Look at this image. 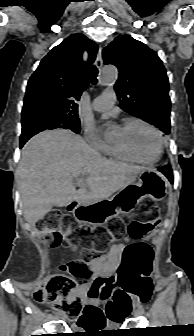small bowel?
Instances as JSON below:
<instances>
[{
  "label": "small bowel",
  "instance_id": "c3829d8e",
  "mask_svg": "<svg viewBox=\"0 0 194 336\" xmlns=\"http://www.w3.org/2000/svg\"><path fill=\"white\" fill-rule=\"evenodd\" d=\"M127 244L115 241L108 253L97 258L91 265L92 275L88 281L83 283L77 289V294L84 300V310L78 319V325L86 326L99 325L105 323L110 318L109 310L104 307L105 302H110V296L104 294V283L113 277L122 263L123 254ZM150 260V269L147 273L140 272L137 275V289L143 288L149 290V280L152 269V254ZM92 290H97L102 295L93 297L90 295Z\"/></svg>",
  "mask_w": 194,
  "mask_h": 336
}]
</instances>
